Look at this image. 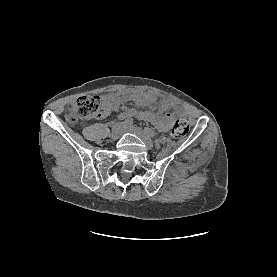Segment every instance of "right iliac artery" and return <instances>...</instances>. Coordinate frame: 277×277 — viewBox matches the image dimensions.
Instances as JSON below:
<instances>
[{"label":"right iliac artery","instance_id":"1","mask_svg":"<svg viewBox=\"0 0 277 277\" xmlns=\"http://www.w3.org/2000/svg\"><path fill=\"white\" fill-rule=\"evenodd\" d=\"M119 119H120V118H119ZM120 120H122V119H120ZM124 124H125V125H132V124H133V119H132V118H127V119H125Z\"/></svg>","mask_w":277,"mask_h":277}]
</instances>
